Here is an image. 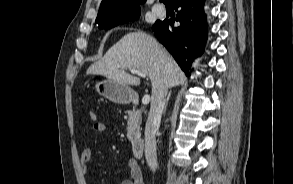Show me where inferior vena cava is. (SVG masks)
Here are the masks:
<instances>
[{
	"label": "inferior vena cava",
	"mask_w": 293,
	"mask_h": 184,
	"mask_svg": "<svg viewBox=\"0 0 293 184\" xmlns=\"http://www.w3.org/2000/svg\"><path fill=\"white\" fill-rule=\"evenodd\" d=\"M167 92V86L163 85L152 95L150 112L145 126V158L153 172L157 168L155 134L160 126Z\"/></svg>",
	"instance_id": "obj_1"
}]
</instances>
